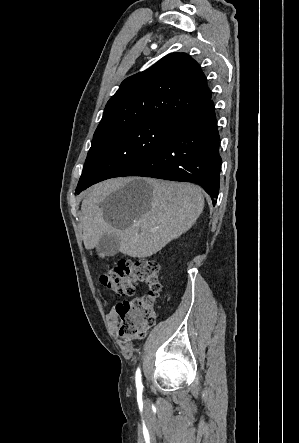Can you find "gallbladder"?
<instances>
[{"label": "gallbladder", "mask_w": 299, "mask_h": 443, "mask_svg": "<svg viewBox=\"0 0 299 443\" xmlns=\"http://www.w3.org/2000/svg\"><path fill=\"white\" fill-rule=\"evenodd\" d=\"M120 238L112 234H104L96 245L100 257L114 256L119 252Z\"/></svg>", "instance_id": "bac80fb5"}]
</instances>
